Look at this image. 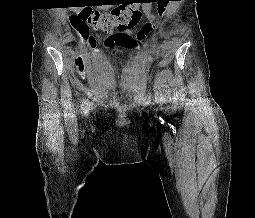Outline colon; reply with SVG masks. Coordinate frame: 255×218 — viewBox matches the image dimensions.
Segmentation results:
<instances>
[{"mask_svg":"<svg viewBox=\"0 0 255 218\" xmlns=\"http://www.w3.org/2000/svg\"><path fill=\"white\" fill-rule=\"evenodd\" d=\"M142 18L141 10L134 3H127L112 9L109 12H101L94 9H82L73 16V22L77 29L88 38L87 27L99 29L109 33L116 31L106 41L109 48H117L119 51H136L143 45L153 30L151 22L144 23L135 35L128 33L134 29ZM91 47H94L93 39L89 38ZM78 70L85 74V60L78 57Z\"/></svg>","mask_w":255,"mask_h":218,"instance_id":"colon-1","label":"colon"}]
</instances>
